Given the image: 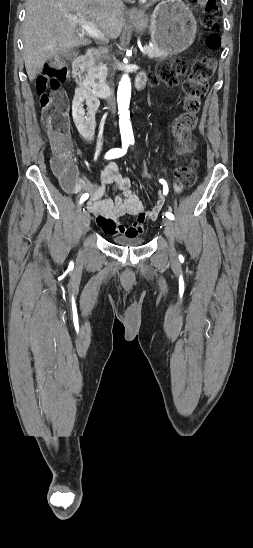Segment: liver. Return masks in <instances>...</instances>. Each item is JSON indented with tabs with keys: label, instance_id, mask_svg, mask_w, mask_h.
Instances as JSON below:
<instances>
[{
	"label": "liver",
	"instance_id": "liver-1",
	"mask_svg": "<svg viewBox=\"0 0 253 548\" xmlns=\"http://www.w3.org/2000/svg\"><path fill=\"white\" fill-rule=\"evenodd\" d=\"M125 9L119 0H27L23 27V57L30 81L47 60L72 48L91 44L76 34L75 16L90 17L101 39H116L124 26Z\"/></svg>",
	"mask_w": 253,
	"mask_h": 548
}]
</instances>
